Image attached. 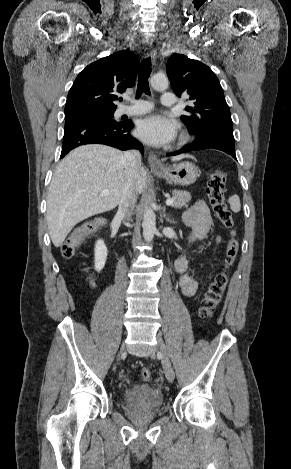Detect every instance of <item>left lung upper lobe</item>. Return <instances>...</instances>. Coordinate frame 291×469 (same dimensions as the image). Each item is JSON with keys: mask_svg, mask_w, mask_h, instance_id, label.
I'll return each instance as SVG.
<instances>
[{"mask_svg": "<svg viewBox=\"0 0 291 469\" xmlns=\"http://www.w3.org/2000/svg\"><path fill=\"white\" fill-rule=\"evenodd\" d=\"M166 71L177 96L188 94L190 115L181 116L189 131L197 136L220 131L233 134V124L220 82L214 72L200 61L174 53L167 61Z\"/></svg>", "mask_w": 291, "mask_h": 469, "instance_id": "5c2ea615", "label": "left lung upper lobe"}]
</instances>
